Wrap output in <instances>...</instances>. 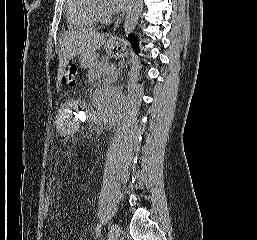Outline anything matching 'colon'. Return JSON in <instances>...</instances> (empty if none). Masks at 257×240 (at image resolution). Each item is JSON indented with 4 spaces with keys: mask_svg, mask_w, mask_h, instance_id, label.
<instances>
[{
    "mask_svg": "<svg viewBox=\"0 0 257 240\" xmlns=\"http://www.w3.org/2000/svg\"><path fill=\"white\" fill-rule=\"evenodd\" d=\"M77 80H78V69L75 66L68 67L63 74V78H62L63 83L69 87H73L76 85ZM52 205H53L52 197L49 194H46L43 200V208H42L43 216L45 219H47L50 216Z\"/></svg>",
    "mask_w": 257,
    "mask_h": 240,
    "instance_id": "1",
    "label": "colon"
}]
</instances>
